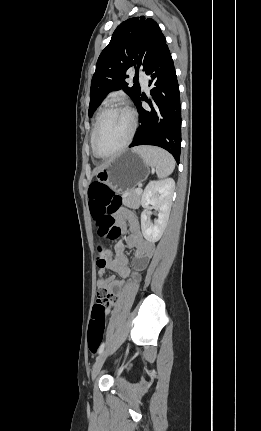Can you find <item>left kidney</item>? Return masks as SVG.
<instances>
[{
	"instance_id": "5707ae66",
	"label": "left kidney",
	"mask_w": 261,
	"mask_h": 431,
	"mask_svg": "<svg viewBox=\"0 0 261 431\" xmlns=\"http://www.w3.org/2000/svg\"><path fill=\"white\" fill-rule=\"evenodd\" d=\"M175 188L173 179L150 182L142 195V206L148 208L152 205L158 209V219L154 224L150 223L148 212L141 214V229L144 238L149 242H157L167 225L172 205V198Z\"/></svg>"
}]
</instances>
